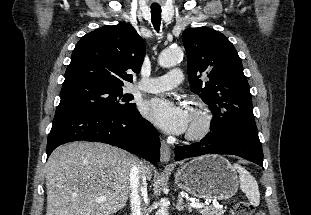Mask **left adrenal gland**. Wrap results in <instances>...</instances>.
<instances>
[{"mask_svg":"<svg viewBox=\"0 0 311 215\" xmlns=\"http://www.w3.org/2000/svg\"><path fill=\"white\" fill-rule=\"evenodd\" d=\"M176 209L179 212L183 211L184 209L188 210L189 212H192V207L183 203V198H182L181 195H179V197H178V202L176 204Z\"/></svg>","mask_w":311,"mask_h":215,"instance_id":"left-adrenal-gland-1","label":"left adrenal gland"}]
</instances>
